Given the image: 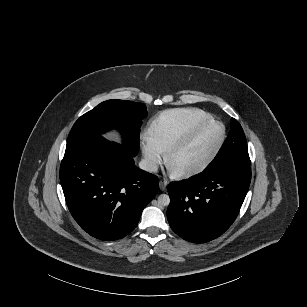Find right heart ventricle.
<instances>
[{
  "label": "right heart ventricle",
  "mask_w": 307,
  "mask_h": 307,
  "mask_svg": "<svg viewBox=\"0 0 307 307\" xmlns=\"http://www.w3.org/2000/svg\"><path fill=\"white\" fill-rule=\"evenodd\" d=\"M212 118L209 113L196 108L169 109L162 111L152 120L149 133L162 152H168Z\"/></svg>",
  "instance_id": "e07e8e85"
}]
</instances>
